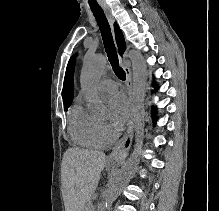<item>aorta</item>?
<instances>
[{"mask_svg":"<svg viewBox=\"0 0 219 211\" xmlns=\"http://www.w3.org/2000/svg\"><path fill=\"white\" fill-rule=\"evenodd\" d=\"M129 58L132 62L133 73V114L136 122L135 146L128 160L110 181L103 201V205L105 206L112 205L135 174L140 163L143 145L147 66L143 56L137 50H130ZM106 63L104 56H88L84 59L80 75L82 89L92 97L90 104L91 111L93 115L98 118H104L108 113L105 103L98 97L95 91V83L104 72Z\"/></svg>","mask_w":219,"mask_h":211,"instance_id":"762f6f07","label":"aorta"}]
</instances>
